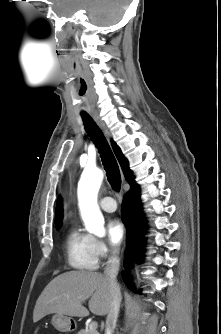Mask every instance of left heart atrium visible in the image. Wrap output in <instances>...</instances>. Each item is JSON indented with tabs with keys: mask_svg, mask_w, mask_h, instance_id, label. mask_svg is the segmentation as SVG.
I'll return each mask as SVG.
<instances>
[{
	"mask_svg": "<svg viewBox=\"0 0 221 334\" xmlns=\"http://www.w3.org/2000/svg\"><path fill=\"white\" fill-rule=\"evenodd\" d=\"M107 233L110 243L114 246H118L125 236L123 223L117 218L109 220L107 223Z\"/></svg>",
	"mask_w": 221,
	"mask_h": 334,
	"instance_id": "39dd6f15",
	"label": "left heart atrium"
}]
</instances>
